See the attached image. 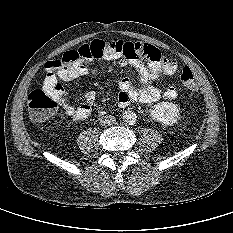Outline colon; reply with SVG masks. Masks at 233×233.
Listing matches in <instances>:
<instances>
[{
  "instance_id": "colon-1",
  "label": "colon",
  "mask_w": 233,
  "mask_h": 233,
  "mask_svg": "<svg viewBox=\"0 0 233 233\" xmlns=\"http://www.w3.org/2000/svg\"><path fill=\"white\" fill-rule=\"evenodd\" d=\"M108 43L95 41L91 44H85L77 50L65 52L60 59L49 61L48 66L59 70L71 67L80 60L99 59L104 54L105 47ZM180 81L189 90H195L197 88L193 72L188 67L182 69ZM27 106L31 119L36 122H42L55 112L58 101L54 93L44 88L36 89L28 95Z\"/></svg>"
}]
</instances>
